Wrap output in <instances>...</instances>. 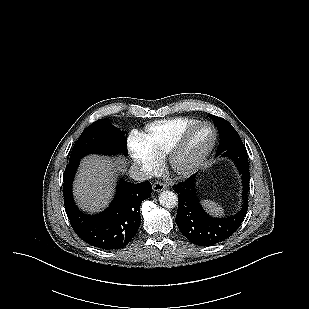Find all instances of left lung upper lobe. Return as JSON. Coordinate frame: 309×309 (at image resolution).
Instances as JSON below:
<instances>
[{"label": "left lung upper lobe", "mask_w": 309, "mask_h": 309, "mask_svg": "<svg viewBox=\"0 0 309 309\" xmlns=\"http://www.w3.org/2000/svg\"><path fill=\"white\" fill-rule=\"evenodd\" d=\"M211 118L217 126L218 131L221 132L217 152H222L233 147L244 146L239 134L228 121L215 115H211Z\"/></svg>", "instance_id": "obj_1"}]
</instances>
